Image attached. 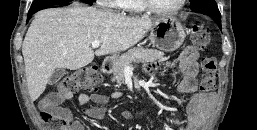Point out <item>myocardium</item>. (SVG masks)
I'll list each match as a JSON object with an SVG mask.
<instances>
[{"label": "myocardium", "instance_id": "f54148a6", "mask_svg": "<svg viewBox=\"0 0 257 130\" xmlns=\"http://www.w3.org/2000/svg\"><path fill=\"white\" fill-rule=\"evenodd\" d=\"M140 2L143 8L148 12L159 14V15H174L184 8L187 0H181L180 3L175 8H172V9L159 8L156 5H154L152 0H140Z\"/></svg>", "mask_w": 257, "mask_h": 130}]
</instances>
